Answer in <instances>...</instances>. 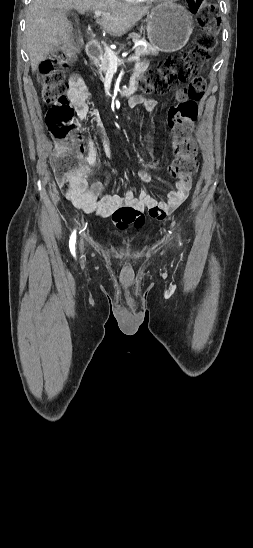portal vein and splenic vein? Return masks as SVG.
I'll use <instances>...</instances> for the list:
<instances>
[{"instance_id": "obj_1", "label": "portal vein and splenic vein", "mask_w": 253, "mask_h": 548, "mask_svg": "<svg viewBox=\"0 0 253 548\" xmlns=\"http://www.w3.org/2000/svg\"><path fill=\"white\" fill-rule=\"evenodd\" d=\"M103 13L99 10H95V16L96 17H100ZM105 52L107 53L108 57H109V61H110V64L113 65V66H117L121 63L124 62L123 59H119L115 54L114 52L108 47V46H105ZM139 56H136V55H133V56H130L128 58V61H135V60H139Z\"/></svg>"}]
</instances>
